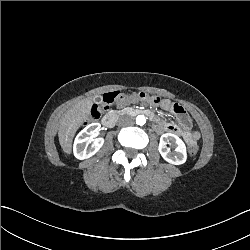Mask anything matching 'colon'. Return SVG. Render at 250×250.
Wrapping results in <instances>:
<instances>
[{"instance_id": "1", "label": "colon", "mask_w": 250, "mask_h": 250, "mask_svg": "<svg viewBox=\"0 0 250 250\" xmlns=\"http://www.w3.org/2000/svg\"><path fill=\"white\" fill-rule=\"evenodd\" d=\"M136 97L141 101H150L151 103H160L161 99L159 95H152L145 92L136 93ZM127 99V96L121 91H111L107 92L103 95L101 102L97 104H93L90 109V122H98L103 113L108 109L109 105L113 103H122ZM173 112L178 116L180 122L184 126H188L189 119L186 114H184V110L182 107L178 105H174ZM189 147L188 154L193 156L198 151V146L195 144V141H191L188 139Z\"/></svg>"}]
</instances>
